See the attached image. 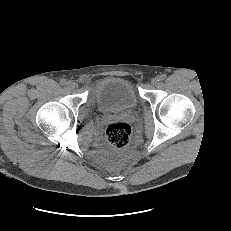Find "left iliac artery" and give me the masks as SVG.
Returning a JSON list of instances; mask_svg holds the SVG:
<instances>
[{
	"instance_id": "1",
	"label": "left iliac artery",
	"mask_w": 231,
	"mask_h": 231,
	"mask_svg": "<svg viewBox=\"0 0 231 231\" xmlns=\"http://www.w3.org/2000/svg\"><path fill=\"white\" fill-rule=\"evenodd\" d=\"M166 78L165 74H162L158 77L159 81H163Z\"/></svg>"
}]
</instances>
